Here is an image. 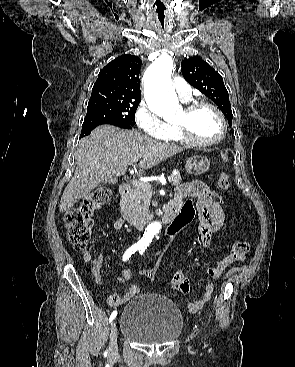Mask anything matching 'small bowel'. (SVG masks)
Returning a JSON list of instances; mask_svg holds the SVG:
<instances>
[{"mask_svg": "<svg viewBox=\"0 0 295 367\" xmlns=\"http://www.w3.org/2000/svg\"><path fill=\"white\" fill-rule=\"evenodd\" d=\"M207 185L199 180H192L183 183L175 188L174 200L178 201L181 205L185 201L186 195H192L196 200L197 216L199 219L198 233L200 238V245L202 248H207L210 243L214 233L219 231L224 224V211L218 201L215 199ZM184 206V205H183ZM124 221L118 219L114 228L116 231H120L123 228ZM104 261V255L101 254L95 261L93 266V274L96 282L101 286H109L112 284H121L124 282H129V285L123 295L112 294L106 299V303L112 307L117 308L125 304L127 301L141 293L140 288L131 283L132 272L129 269L121 270V276L117 277L113 281L104 279L101 276L100 270ZM223 268L218 265L215 267H210L207 269V274L210 278L216 279L223 272ZM173 285L176 289L181 292L187 293L190 290L189 281L183 271H177L173 278ZM214 283L208 281L205 286V293L203 296L193 302L187 304V309L190 313L195 314L199 312L205 304L210 300L212 293L214 291Z\"/></svg>", "mask_w": 295, "mask_h": 367, "instance_id": "1", "label": "small bowel"}]
</instances>
